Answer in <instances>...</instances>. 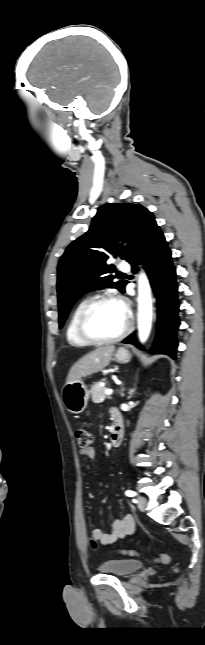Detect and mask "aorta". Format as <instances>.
Segmentation results:
<instances>
[{"label": "aorta", "mask_w": 205, "mask_h": 645, "mask_svg": "<svg viewBox=\"0 0 205 645\" xmlns=\"http://www.w3.org/2000/svg\"><path fill=\"white\" fill-rule=\"evenodd\" d=\"M152 325V298L148 278L141 272L138 279V331L143 343L147 340Z\"/></svg>", "instance_id": "aorta-1"}]
</instances>
